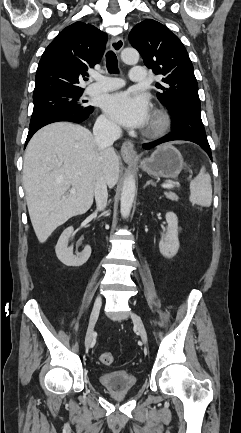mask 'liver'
<instances>
[{
	"instance_id": "liver-1",
	"label": "liver",
	"mask_w": 241,
	"mask_h": 433,
	"mask_svg": "<svg viewBox=\"0 0 241 433\" xmlns=\"http://www.w3.org/2000/svg\"><path fill=\"white\" fill-rule=\"evenodd\" d=\"M119 169L114 149H98L92 133L81 125L56 122L36 132L24 156L23 186L39 242L90 209L98 173L113 188ZM70 186L75 193H68Z\"/></svg>"
}]
</instances>
